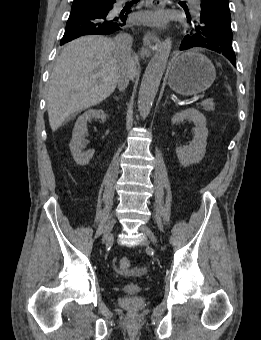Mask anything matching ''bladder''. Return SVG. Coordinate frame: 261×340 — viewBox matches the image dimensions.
I'll use <instances>...</instances> for the list:
<instances>
[{
	"label": "bladder",
	"mask_w": 261,
	"mask_h": 340,
	"mask_svg": "<svg viewBox=\"0 0 261 340\" xmlns=\"http://www.w3.org/2000/svg\"><path fill=\"white\" fill-rule=\"evenodd\" d=\"M122 291L128 296H136L142 290V282L134 279H127L121 286Z\"/></svg>",
	"instance_id": "obj_1"
}]
</instances>
